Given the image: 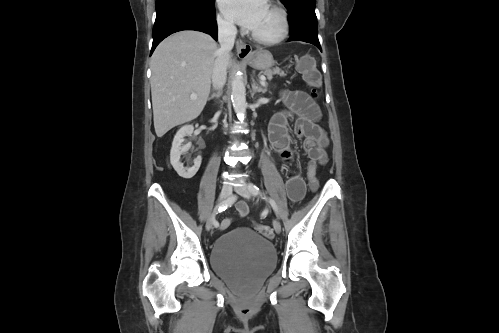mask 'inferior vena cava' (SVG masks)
<instances>
[{"mask_svg":"<svg viewBox=\"0 0 499 333\" xmlns=\"http://www.w3.org/2000/svg\"><path fill=\"white\" fill-rule=\"evenodd\" d=\"M237 29L231 22H218V41L220 48L217 51V57L214 62L212 72V84L215 89H222L226 83L227 66L236 38Z\"/></svg>","mask_w":499,"mask_h":333,"instance_id":"obj_1","label":"inferior vena cava"}]
</instances>
